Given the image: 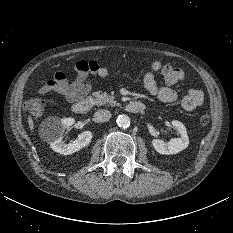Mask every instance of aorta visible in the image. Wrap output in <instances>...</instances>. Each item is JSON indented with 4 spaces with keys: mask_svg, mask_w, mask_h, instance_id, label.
Returning a JSON list of instances; mask_svg holds the SVG:
<instances>
[{
    "mask_svg": "<svg viewBox=\"0 0 233 233\" xmlns=\"http://www.w3.org/2000/svg\"><path fill=\"white\" fill-rule=\"evenodd\" d=\"M116 122L120 128H128L130 126V118L125 114L119 115Z\"/></svg>",
    "mask_w": 233,
    "mask_h": 233,
    "instance_id": "1",
    "label": "aorta"
}]
</instances>
